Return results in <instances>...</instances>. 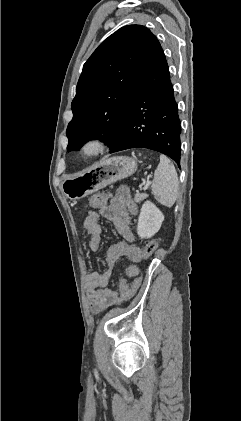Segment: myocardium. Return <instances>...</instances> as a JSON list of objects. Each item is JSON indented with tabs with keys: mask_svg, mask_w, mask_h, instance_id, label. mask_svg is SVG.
<instances>
[{
	"mask_svg": "<svg viewBox=\"0 0 241 421\" xmlns=\"http://www.w3.org/2000/svg\"><path fill=\"white\" fill-rule=\"evenodd\" d=\"M107 147V141L102 135L88 136L81 144L80 153L86 158H94L102 154Z\"/></svg>",
	"mask_w": 241,
	"mask_h": 421,
	"instance_id": "obj_1",
	"label": "myocardium"
}]
</instances>
